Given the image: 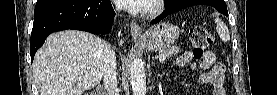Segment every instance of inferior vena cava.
Instances as JSON below:
<instances>
[{
    "label": "inferior vena cava",
    "mask_w": 277,
    "mask_h": 95,
    "mask_svg": "<svg viewBox=\"0 0 277 95\" xmlns=\"http://www.w3.org/2000/svg\"><path fill=\"white\" fill-rule=\"evenodd\" d=\"M119 10V8H118ZM116 56L113 49L109 48L104 60V88L107 95H119L117 88Z\"/></svg>",
    "instance_id": "602c4592"
}]
</instances>
